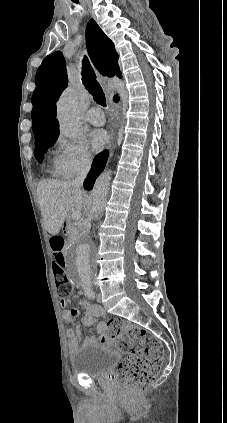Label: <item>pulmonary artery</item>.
Returning <instances> with one entry per match:
<instances>
[{"instance_id":"e3ab8cb5","label":"pulmonary artery","mask_w":227,"mask_h":423,"mask_svg":"<svg viewBox=\"0 0 227 423\" xmlns=\"http://www.w3.org/2000/svg\"><path fill=\"white\" fill-rule=\"evenodd\" d=\"M86 120L93 126H103L106 122L105 113L98 107H92L86 113Z\"/></svg>"}]
</instances>
